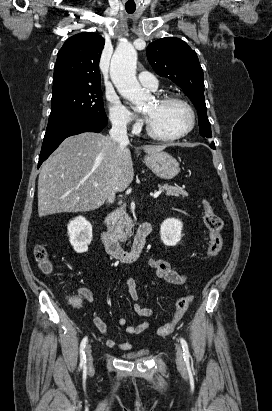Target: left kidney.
Instances as JSON below:
<instances>
[{"label":"left kidney","instance_id":"obj_1","mask_svg":"<svg viewBox=\"0 0 272 411\" xmlns=\"http://www.w3.org/2000/svg\"><path fill=\"white\" fill-rule=\"evenodd\" d=\"M182 222L175 218H168L160 226L161 240L166 246H175L181 240Z\"/></svg>","mask_w":272,"mask_h":411}]
</instances>
